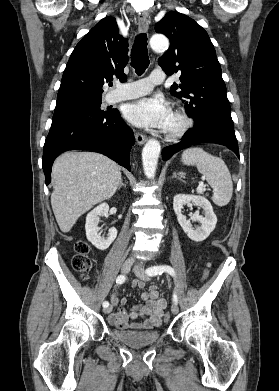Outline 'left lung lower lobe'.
Wrapping results in <instances>:
<instances>
[{"label": "left lung lower lobe", "mask_w": 279, "mask_h": 391, "mask_svg": "<svg viewBox=\"0 0 279 391\" xmlns=\"http://www.w3.org/2000/svg\"><path fill=\"white\" fill-rule=\"evenodd\" d=\"M198 143H217L224 145L239 157L238 143L233 124L216 118H205L187 131L178 144L165 147L162 150L163 160H168L176 152Z\"/></svg>", "instance_id": "left-lung-lower-lobe-1"}]
</instances>
